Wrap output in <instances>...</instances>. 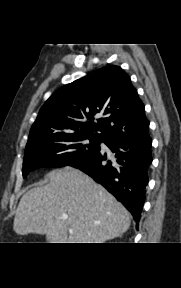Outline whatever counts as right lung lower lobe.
<instances>
[{
    "label": "right lung lower lobe",
    "mask_w": 181,
    "mask_h": 288,
    "mask_svg": "<svg viewBox=\"0 0 181 288\" xmlns=\"http://www.w3.org/2000/svg\"><path fill=\"white\" fill-rule=\"evenodd\" d=\"M104 142L115 158L109 159L99 150L71 166L91 176L113 194L130 211L138 228L152 162V139L147 133L135 139L117 138Z\"/></svg>",
    "instance_id": "right-lung-lower-lobe-1"
}]
</instances>
